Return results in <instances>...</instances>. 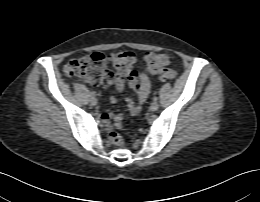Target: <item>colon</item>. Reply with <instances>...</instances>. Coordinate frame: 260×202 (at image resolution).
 I'll return each instance as SVG.
<instances>
[{
  "label": "colon",
  "instance_id": "1",
  "mask_svg": "<svg viewBox=\"0 0 260 202\" xmlns=\"http://www.w3.org/2000/svg\"><path fill=\"white\" fill-rule=\"evenodd\" d=\"M134 62L132 52L122 50L111 54L94 53L80 58L71 59L64 66V73L68 77L80 78L87 83L99 86L114 82L118 76L110 67L113 64L119 75H128ZM170 57L164 53L150 52L145 57L146 67L150 72L157 73L162 81L173 80L176 72L166 68ZM109 138L116 146L123 145L119 134L112 132Z\"/></svg>",
  "mask_w": 260,
  "mask_h": 202
}]
</instances>
